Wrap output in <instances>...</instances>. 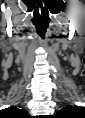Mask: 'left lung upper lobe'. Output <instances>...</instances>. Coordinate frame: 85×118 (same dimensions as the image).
Masks as SVG:
<instances>
[{
  "label": "left lung upper lobe",
  "mask_w": 85,
  "mask_h": 118,
  "mask_svg": "<svg viewBox=\"0 0 85 118\" xmlns=\"http://www.w3.org/2000/svg\"><path fill=\"white\" fill-rule=\"evenodd\" d=\"M73 108H74V107H72V106L64 107V108H62V109L58 112V114H67V113H69L71 110H73Z\"/></svg>",
  "instance_id": "1"
}]
</instances>
